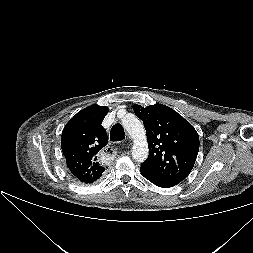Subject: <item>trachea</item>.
Wrapping results in <instances>:
<instances>
[{
	"mask_svg": "<svg viewBox=\"0 0 253 253\" xmlns=\"http://www.w3.org/2000/svg\"><path fill=\"white\" fill-rule=\"evenodd\" d=\"M125 139V132L121 124H115L110 131L111 141H121Z\"/></svg>",
	"mask_w": 253,
	"mask_h": 253,
	"instance_id": "obj_1",
	"label": "trachea"
}]
</instances>
